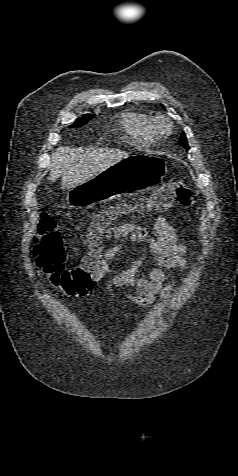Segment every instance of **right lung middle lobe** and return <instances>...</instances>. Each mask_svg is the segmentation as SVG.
I'll return each instance as SVG.
<instances>
[{
	"label": "right lung middle lobe",
	"mask_w": 238,
	"mask_h": 476,
	"mask_svg": "<svg viewBox=\"0 0 238 476\" xmlns=\"http://www.w3.org/2000/svg\"><path fill=\"white\" fill-rule=\"evenodd\" d=\"M92 117H94V114H85L82 119L77 120L74 124L71 125V127H76L85 124Z\"/></svg>",
	"instance_id": "1"
}]
</instances>
